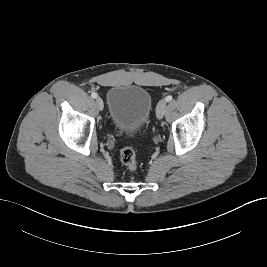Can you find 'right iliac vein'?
I'll return each mask as SVG.
<instances>
[{"mask_svg": "<svg viewBox=\"0 0 267 267\" xmlns=\"http://www.w3.org/2000/svg\"><path fill=\"white\" fill-rule=\"evenodd\" d=\"M96 105L98 107L99 110H102L103 109V100L100 98V97H97L96 98Z\"/></svg>", "mask_w": 267, "mask_h": 267, "instance_id": "63e3f726", "label": "right iliac vein"}]
</instances>
